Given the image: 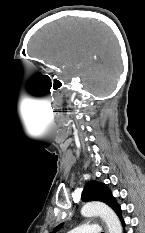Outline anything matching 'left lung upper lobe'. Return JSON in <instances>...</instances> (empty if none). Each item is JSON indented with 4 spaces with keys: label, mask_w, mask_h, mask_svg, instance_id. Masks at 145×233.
Segmentation results:
<instances>
[{
    "label": "left lung upper lobe",
    "mask_w": 145,
    "mask_h": 233,
    "mask_svg": "<svg viewBox=\"0 0 145 233\" xmlns=\"http://www.w3.org/2000/svg\"><path fill=\"white\" fill-rule=\"evenodd\" d=\"M81 199L83 201L96 200L106 203L111 207L119 217H121V208L112 196L109 188L104 184L97 181H89L86 183L84 190L82 192ZM63 224L58 225L52 233L58 231Z\"/></svg>",
    "instance_id": "1"
}]
</instances>
